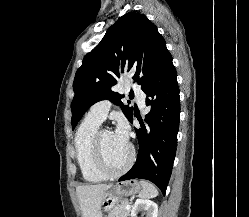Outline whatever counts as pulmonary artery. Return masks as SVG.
Here are the masks:
<instances>
[{
	"label": "pulmonary artery",
	"instance_id": "pulmonary-artery-1",
	"mask_svg": "<svg viewBox=\"0 0 249 217\" xmlns=\"http://www.w3.org/2000/svg\"><path fill=\"white\" fill-rule=\"evenodd\" d=\"M130 90L136 95L137 101L140 107L145 104V93L139 89L135 84H130ZM111 108V102L109 100H102L95 103L89 110L88 115L99 121H104Z\"/></svg>",
	"mask_w": 249,
	"mask_h": 217
}]
</instances>
